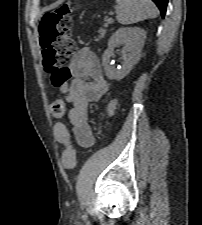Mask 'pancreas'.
<instances>
[{
  "instance_id": "obj_1",
  "label": "pancreas",
  "mask_w": 202,
  "mask_h": 225,
  "mask_svg": "<svg viewBox=\"0 0 202 225\" xmlns=\"http://www.w3.org/2000/svg\"><path fill=\"white\" fill-rule=\"evenodd\" d=\"M106 21V23L104 24V27H108V25H109V22L107 21V20H105ZM99 34H100V36H103L104 34H105V30L104 29H99Z\"/></svg>"
}]
</instances>
